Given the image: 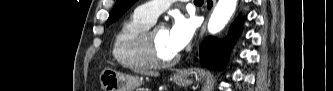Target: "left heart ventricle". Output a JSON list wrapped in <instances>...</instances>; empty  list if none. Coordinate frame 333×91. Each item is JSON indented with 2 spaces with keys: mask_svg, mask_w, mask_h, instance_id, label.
Instances as JSON below:
<instances>
[{
  "mask_svg": "<svg viewBox=\"0 0 333 91\" xmlns=\"http://www.w3.org/2000/svg\"><path fill=\"white\" fill-rule=\"evenodd\" d=\"M154 42L157 52L162 59H170L177 54L170 46L168 29L165 27L157 28L154 33Z\"/></svg>",
  "mask_w": 333,
  "mask_h": 91,
  "instance_id": "b2bd125f",
  "label": "left heart ventricle"
}]
</instances>
